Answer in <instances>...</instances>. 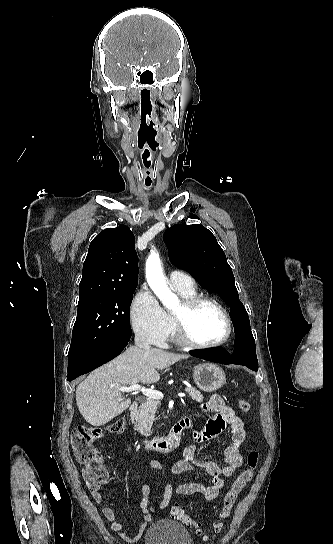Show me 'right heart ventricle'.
Wrapping results in <instances>:
<instances>
[{
	"mask_svg": "<svg viewBox=\"0 0 333 544\" xmlns=\"http://www.w3.org/2000/svg\"><path fill=\"white\" fill-rule=\"evenodd\" d=\"M176 292L183 298H190V297H193L196 295V292H195V288L194 289H190V290H179V289H175ZM170 319H171V324H172V328H171V336L174 340L176 341H179L178 338H177V335H176V330H175V324H174V320H173V317L170 316Z\"/></svg>",
	"mask_w": 333,
	"mask_h": 544,
	"instance_id": "1",
	"label": "right heart ventricle"
}]
</instances>
